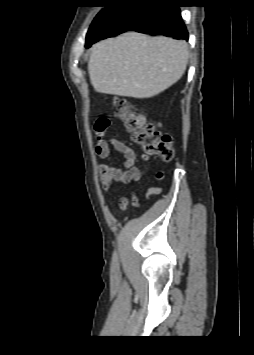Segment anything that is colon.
I'll use <instances>...</instances> for the list:
<instances>
[{"mask_svg":"<svg viewBox=\"0 0 254 355\" xmlns=\"http://www.w3.org/2000/svg\"><path fill=\"white\" fill-rule=\"evenodd\" d=\"M117 115L131 134L134 143L141 145L145 156L155 157L163 161H171L174 157L172 138L169 134L158 130L153 124L146 123L138 116L131 104L124 98H115ZM108 126L106 119H99L95 128L104 130Z\"/></svg>","mask_w":254,"mask_h":355,"instance_id":"5ec220e1","label":"colon"}]
</instances>
